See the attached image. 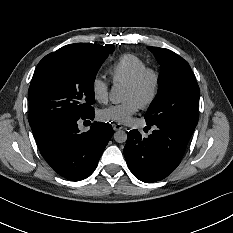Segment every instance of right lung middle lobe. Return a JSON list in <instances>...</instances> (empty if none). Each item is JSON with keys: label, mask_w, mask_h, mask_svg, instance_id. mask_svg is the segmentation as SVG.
<instances>
[{"label": "right lung middle lobe", "mask_w": 233, "mask_h": 233, "mask_svg": "<svg viewBox=\"0 0 233 233\" xmlns=\"http://www.w3.org/2000/svg\"><path fill=\"white\" fill-rule=\"evenodd\" d=\"M106 55H91L62 47L37 65L29 91L31 127L66 118H80L93 110V84Z\"/></svg>", "instance_id": "dd1d6c3e"}]
</instances>
